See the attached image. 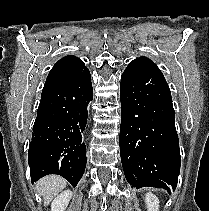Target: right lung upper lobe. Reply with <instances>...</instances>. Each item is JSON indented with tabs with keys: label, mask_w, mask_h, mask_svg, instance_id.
Here are the masks:
<instances>
[{
	"label": "right lung upper lobe",
	"mask_w": 209,
	"mask_h": 211,
	"mask_svg": "<svg viewBox=\"0 0 209 211\" xmlns=\"http://www.w3.org/2000/svg\"><path fill=\"white\" fill-rule=\"evenodd\" d=\"M86 67L84 63L73 55H68L60 59L53 66L46 79L42 95L57 89L58 87L75 79Z\"/></svg>",
	"instance_id": "obj_1"
}]
</instances>
